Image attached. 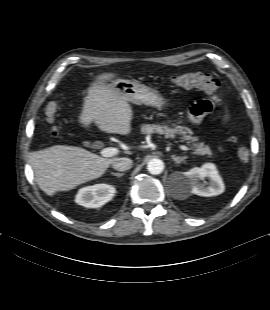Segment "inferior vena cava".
I'll return each mask as SVG.
<instances>
[{
  "label": "inferior vena cava",
  "instance_id": "1",
  "mask_svg": "<svg viewBox=\"0 0 270 310\" xmlns=\"http://www.w3.org/2000/svg\"><path fill=\"white\" fill-rule=\"evenodd\" d=\"M112 167L118 171L129 170L132 167V160L130 158H118L112 163Z\"/></svg>",
  "mask_w": 270,
  "mask_h": 310
}]
</instances>
